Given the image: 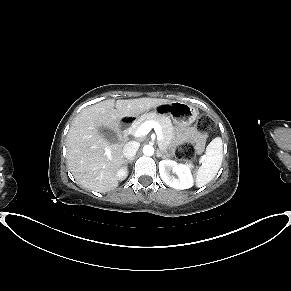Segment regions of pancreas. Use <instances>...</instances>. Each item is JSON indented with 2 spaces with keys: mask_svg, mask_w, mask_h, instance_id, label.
Here are the masks:
<instances>
[{
  "mask_svg": "<svg viewBox=\"0 0 291 291\" xmlns=\"http://www.w3.org/2000/svg\"><path fill=\"white\" fill-rule=\"evenodd\" d=\"M146 121H156L159 123L162 129V138L159 141V146L162 150H165L169 144L171 143L174 133H173V126L172 122L169 117L164 115H159L157 113H148L142 115L138 118L130 127V131L135 133L136 130Z\"/></svg>",
  "mask_w": 291,
  "mask_h": 291,
  "instance_id": "cf45deb5",
  "label": "pancreas"
}]
</instances>
